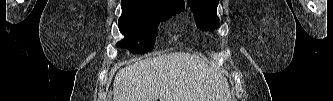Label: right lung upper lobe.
Listing matches in <instances>:
<instances>
[{"label":"right lung upper lobe","instance_id":"cb5924a9","mask_svg":"<svg viewBox=\"0 0 333 101\" xmlns=\"http://www.w3.org/2000/svg\"><path fill=\"white\" fill-rule=\"evenodd\" d=\"M165 1H170V2H175V3H182V4H184V0H165Z\"/></svg>","mask_w":333,"mask_h":101}]
</instances>
